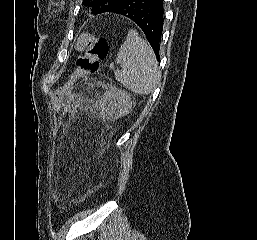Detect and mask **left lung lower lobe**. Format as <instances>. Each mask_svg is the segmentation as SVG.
<instances>
[{
    "instance_id": "0a47b994",
    "label": "left lung lower lobe",
    "mask_w": 257,
    "mask_h": 240,
    "mask_svg": "<svg viewBox=\"0 0 257 240\" xmlns=\"http://www.w3.org/2000/svg\"><path fill=\"white\" fill-rule=\"evenodd\" d=\"M106 12L122 15L141 28L159 61L164 24L163 0H121Z\"/></svg>"
}]
</instances>
